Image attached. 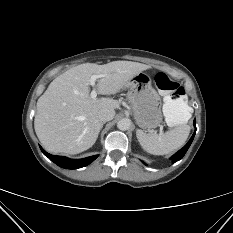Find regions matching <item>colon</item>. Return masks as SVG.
<instances>
[{"instance_id":"colon-1","label":"colon","mask_w":233,"mask_h":233,"mask_svg":"<svg viewBox=\"0 0 233 233\" xmlns=\"http://www.w3.org/2000/svg\"><path fill=\"white\" fill-rule=\"evenodd\" d=\"M154 80L157 89L164 94L163 112L168 124H187L192 116V108L188 104L183 87L162 72L156 74Z\"/></svg>"}]
</instances>
